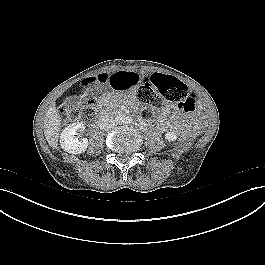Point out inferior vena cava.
Segmentation results:
<instances>
[{
    "label": "inferior vena cava",
    "instance_id": "1",
    "mask_svg": "<svg viewBox=\"0 0 265 265\" xmlns=\"http://www.w3.org/2000/svg\"><path fill=\"white\" fill-rule=\"evenodd\" d=\"M98 125L101 130L109 131L115 127L116 120L111 115L105 114L100 117Z\"/></svg>",
    "mask_w": 265,
    "mask_h": 265
}]
</instances>
